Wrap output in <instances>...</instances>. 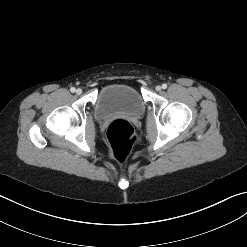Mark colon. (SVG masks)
<instances>
[{
    "label": "colon",
    "instance_id": "5ec220e1",
    "mask_svg": "<svg viewBox=\"0 0 247 247\" xmlns=\"http://www.w3.org/2000/svg\"><path fill=\"white\" fill-rule=\"evenodd\" d=\"M106 139L111 157L118 162H124L131 156L138 136L128 121L120 119L108 126Z\"/></svg>",
    "mask_w": 247,
    "mask_h": 247
}]
</instances>
